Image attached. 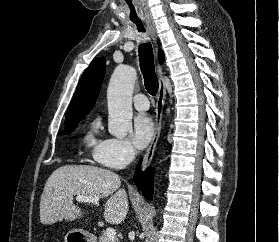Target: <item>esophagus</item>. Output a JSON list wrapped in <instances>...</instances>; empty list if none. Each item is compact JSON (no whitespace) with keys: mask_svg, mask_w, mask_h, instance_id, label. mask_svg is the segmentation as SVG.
Returning a JSON list of instances; mask_svg holds the SVG:
<instances>
[{"mask_svg":"<svg viewBox=\"0 0 279 242\" xmlns=\"http://www.w3.org/2000/svg\"><path fill=\"white\" fill-rule=\"evenodd\" d=\"M148 32L152 39L156 41V33L155 28L150 21L146 22ZM157 75L159 79V91L157 96V104H156V124H155V132L152 138V141L144 155L143 162H142V170L144 171L150 164L156 144L158 142L161 128H162V117H163V106L166 96V87L163 79V70L162 67L158 64L157 65Z\"/></svg>","mask_w":279,"mask_h":242,"instance_id":"esophagus-1","label":"esophagus"}]
</instances>
